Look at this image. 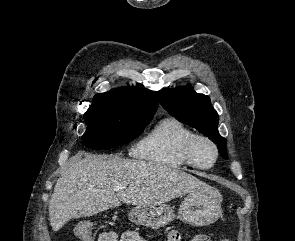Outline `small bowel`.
I'll return each mask as SVG.
<instances>
[{"label":"small bowel","mask_w":295,"mask_h":241,"mask_svg":"<svg viewBox=\"0 0 295 241\" xmlns=\"http://www.w3.org/2000/svg\"><path fill=\"white\" fill-rule=\"evenodd\" d=\"M176 237H180V234L176 231H172L168 235V241H178ZM99 241H147L142 233L137 230H130L118 236L112 231L103 232L99 236ZM181 241V240H180ZM191 241H211L207 236H197Z\"/></svg>","instance_id":"obj_1"}]
</instances>
